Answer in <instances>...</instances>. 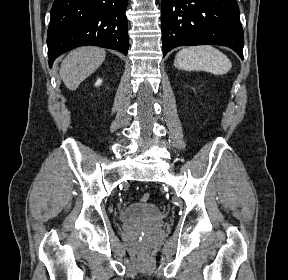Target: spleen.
I'll use <instances>...</instances> for the list:
<instances>
[{
    "label": "spleen",
    "mask_w": 288,
    "mask_h": 280,
    "mask_svg": "<svg viewBox=\"0 0 288 280\" xmlns=\"http://www.w3.org/2000/svg\"><path fill=\"white\" fill-rule=\"evenodd\" d=\"M174 66L181 70L207 71L215 75L226 74L232 67L230 59L210 45L192 46L180 50Z\"/></svg>",
    "instance_id": "obj_1"
}]
</instances>
